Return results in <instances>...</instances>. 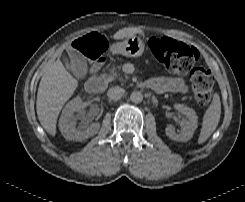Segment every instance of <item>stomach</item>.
<instances>
[{
    "mask_svg": "<svg viewBox=\"0 0 245 202\" xmlns=\"http://www.w3.org/2000/svg\"><path fill=\"white\" fill-rule=\"evenodd\" d=\"M145 49L144 42L137 36L127 37L122 42H117L112 46V52L126 57H139Z\"/></svg>",
    "mask_w": 245,
    "mask_h": 202,
    "instance_id": "1",
    "label": "stomach"
}]
</instances>
